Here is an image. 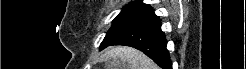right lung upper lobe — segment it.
<instances>
[{"instance_id": "obj_1", "label": "right lung upper lobe", "mask_w": 246, "mask_h": 69, "mask_svg": "<svg viewBox=\"0 0 246 69\" xmlns=\"http://www.w3.org/2000/svg\"><path fill=\"white\" fill-rule=\"evenodd\" d=\"M153 9L140 1L138 2H132L128 5H126L122 11L119 13V15L116 17H129V16H140L143 17L147 13L151 12Z\"/></svg>"}]
</instances>
